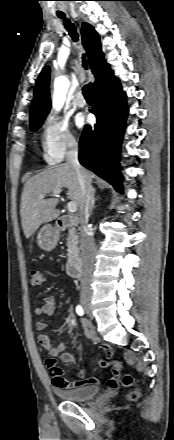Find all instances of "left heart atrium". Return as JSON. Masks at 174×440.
Here are the masks:
<instances>
[{"mask_svg": "<svg viewBox=\"0 0 174 440\" xmlns=\"http://www.w3.org/2000/svg\"><path fill=\"white\" fill-rule=\"evenodd\" d=\"M75 122L78 127H82L85 124V119L83 116H78Z\"/></svg>", "mask_w": 174, "mask_h": 440, "instance_id": "1", "label": "left heart atrium"}]
</instances>
